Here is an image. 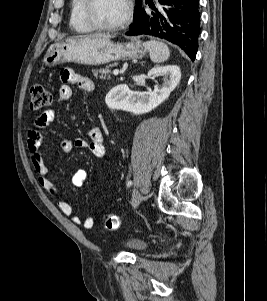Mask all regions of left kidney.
Segmentation results:
<instances>
[{
  "label": "left kidney",
  "instance_id": "left-kidney-1",
  "mask_svg": "<svg viewBox=\"0 0 267 301\" xmlns=\"http://www.w3.org/2000/svg\"><path fill=\"white\" fill-rule=\"evenodd\" d=\"M158 75L163 77V84L155 85L153 91L142 93L139 98L135 97L126 84L117 85L106 95V105L110 109L125 111H134L136 108L153 110L168 99L181 80V71L177 65L154 67L148 72V77L152 80Z\"/></svg>",
  "mask_w": 267,
  "mask_h": 301
}]
</instances>
